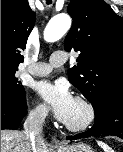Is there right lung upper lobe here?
Wrapping results in <instances>:
<instances>
[{
  "instance_id": "1",
  "label": "right lung upper lobe",
  "mask_w": 123,
  "mask_h": 152,
  "mask_svg": "<svg viewBox=\"0 0 123 152\" xmlns=\"http://www.w3.org/2000/svg\"><path fill=\"white\" fill-rule=\"evenodd\" d=\"M34 24L35 13L27 0H1V67L18 69Z\"/></svg>"
}]
</instances>
